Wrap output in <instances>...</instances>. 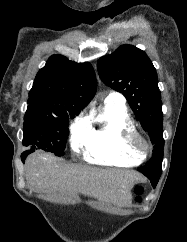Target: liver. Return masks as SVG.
I'll return each instance as SVG.
<instances>
[{
    "instance_id": "liver-1",
    "label": "liver",
    "mask_w": 187,
    "mask_h": 242,
    "mask_svg": "<svg viewBox=\"0 0 187 242\" xmlns=\"http://www.w3.org/2000/svg\"><path fill=\"white\" fill-rule=\"evenodd\" d=\"M27 183L38 191L81 193L103 202L128 206L138 173L122 169H101L67 164L52 154L36 152L25 163Z\"/></svg>"
}]
</instances>
